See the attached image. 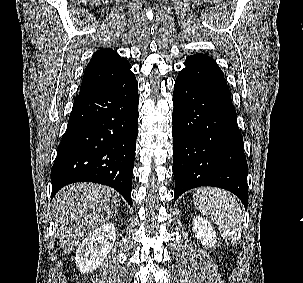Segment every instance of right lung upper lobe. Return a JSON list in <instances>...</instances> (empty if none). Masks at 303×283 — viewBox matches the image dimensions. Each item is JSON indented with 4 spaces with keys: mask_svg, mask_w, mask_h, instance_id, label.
<instances>
[{
    "mask_svg": "<svg viewBox=\"0 0 303 283\" xmlns=\"http://www.w3.org/2000/svg\"><path fill=\"white\" fill-rule=\"evenodd\" d=\"M130 68V63L113 49L97 51L85 68L79 94L122 80L132 73Z\"/></svg>",
    "mask_w": 303,
    "mask_h": 283,
    "instance_id": "cb5924a9",
    "label": "right lung upper lobe"
}]
</instances>
